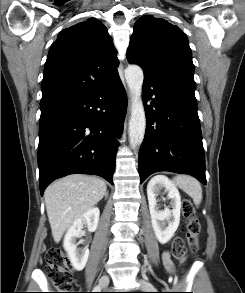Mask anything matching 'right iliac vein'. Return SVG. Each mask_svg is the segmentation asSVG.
<instances>
[{"label":"right iliac vein","instance_id":"1","mask_svg":"<svg viewBox=\"0 0 245 293\" xmlns=\"http://www.w3.org/2000/svg\"><path fill=\"white\" fill-rule=\"evenodd\" d=\"M109 284V277L107 275H104L99 280V287L100 289L107 287Z\"/></svg>","mask_w":245,"mask_h":293}]
</instances>
